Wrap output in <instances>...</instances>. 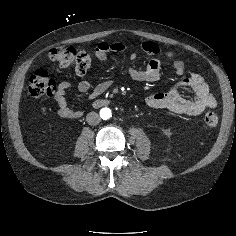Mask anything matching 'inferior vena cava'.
Here are the masks:
<instances>
[{"label":"inferior vena cava","mask_w":236,"mask_h":236,"mask_svg":"<svg viewBox=\"0 0 236 236\" xmlns=\"http://www.w3.org/2000/svg\"><path fill=\"white\" fill-rule=\"evenodd\" d=\"M86 121L89 125L94 126V125H97L100 123L101 118H100L99 114H97L95 112H90L86 116Z\"/></svg>","instance_id":"602c4592"}]
</instances>
